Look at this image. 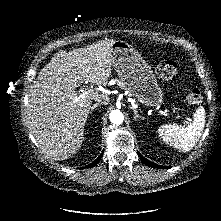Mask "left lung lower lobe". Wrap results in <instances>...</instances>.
I'll return each mask as SVG.
<instances>
[{"mask_svg":"<svg viewBox=\"0 0 221 221\" xmlns=\"http://www.w3.org/2000/svg\"><path fill=\"white\" fill-rule=\"evenodd\" d=\"M140 159L141 161L146 164L147 166H150V167H154V168H159V169H163V168H167L166 166H161V165H157L155 163H152L150 161H148L147 159H145L142 155H140Z\"/></svg>","mask_w":221,"mask_h":221,"instance_id":"left-lung-lower-lobe-1","label":"left lung lower lobe"}]
</instances>
